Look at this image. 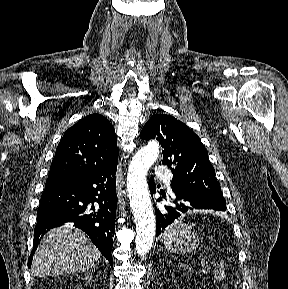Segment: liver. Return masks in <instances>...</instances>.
I'll use <instances>...</instances> for the list:
<instances>
[{"instance_id": "obj_1", "label": "liver", "mask_w": 288, "mask_h": 289, "mask_svg": "<svg viewBox=\"0 0 288 289\" xmlns=\"http://www.w3.org/2000/svg\"><path fill=\"white\" fill-rule=\"evenodd\" d=\"M101 257L88 236L72 226L50 230L42 238L32 261V274L58 276L91 269Z\"/></svg>"}]
</instances>
